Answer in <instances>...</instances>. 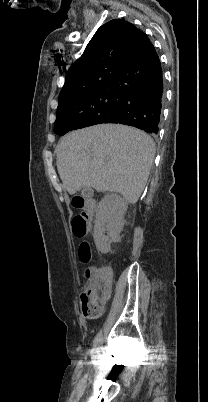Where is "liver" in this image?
Returning <instances> with one entry per match:
<instances>
[{
    "label": "liver",
    "instance_id": "liver-1",
    "mask_svg": "<svg viewBox=\"0 0 208 402\" xmlns=\"http://www.w3.org/2000/svg\"><path fill=\"white\" fill-rule=\"evenodd\" d=\"M154 154L150 136L121 124H100L69 132L56 148L58 174L68 194H76L82 188L119 192L129 204L138 202Z\"/></svg>",
    "mask_w": 208,
    "mask_h": 402
}]
</instances>
